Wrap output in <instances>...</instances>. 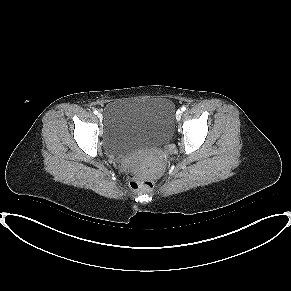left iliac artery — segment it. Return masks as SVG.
I'll use <instances>...</instances> for the list:
<instances>
[{"label":"left iliac artery","instance_id":"1","mask_svg":"<svg viewBox=\"0 0 291 291\" xmlns=\"http://www.w3.org/2000/svg\"><path fill=\"white\" fill-rule=\"evenodd\" d=\"M181 110H182V111H185V110H186V107H185V106H183V107L181 108Z\"/></svg>","mask_w":291,"mask_h":291}]
</instances>
